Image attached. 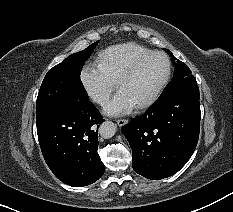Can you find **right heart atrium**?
<instances>
[{
    "mask_svg": "<svg viewBox=\"0 0 233 212\" xmlns=\"http://www.w3.org/2000/svg\"><path fill=\"white\" fill-rule=\"evenodd\" d=\"M80 83L86 95L99 105H104L108 101L116 85L98 64L83 66Z\"/></svg>",
    "mask_w": 233,
    "mask_h": 212,
    "instance_id": "1",
    "label": "right heart atrium"
}]
</instances>
